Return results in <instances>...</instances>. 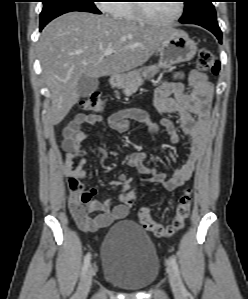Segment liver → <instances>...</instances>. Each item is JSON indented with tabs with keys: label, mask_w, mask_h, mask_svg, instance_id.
<instances>
[{
	"label": "liver",
	"mask_w": 248,
	"mask_h": 299,
	"mask_svg": "<svg viewBox=\"0 0 248 299\" xmlns=\"http://www.w3.org/2000/svg\"><path fill=\"white\" fill-rule=\"evenodd\" d=\"M172 27L145 26L107 15L70 12L42 31L38 52L42 75L51 91V123L59 124L79 101L82 75H122L144 64L171 36ZM116 50L109 56L103 51Z\"/></svg>",
	"instance_id": "obj_1"
}]
</instances>
